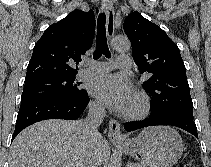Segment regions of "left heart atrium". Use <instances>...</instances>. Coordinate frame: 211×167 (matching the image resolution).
<instances>
[{
    "label": "left heart atrium",
    "instance_id": "1",
    "mask_svg": "<svg viewBox=\"0 0 211 167\" xmlns=\"http://www.w3.org/2000/svg\"><path fill=\"white\" fill-rule=\"evenodd\" d=\"M88 89L97 100L117 111H127L132 101L130 85L115 75L94 78Z\"/></svg>",
    "mask_w": 211,
    "mask_h": 167
}]
</instances>
